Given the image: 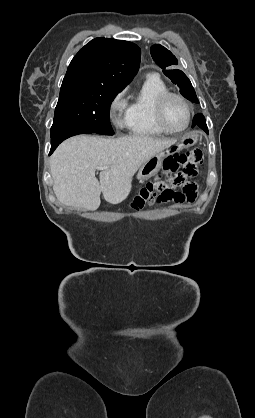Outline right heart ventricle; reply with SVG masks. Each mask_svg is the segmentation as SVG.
Returning <instances> with one entry per match:
<instances>
[{"label": "right heart ventricle", "mask_w": 255, "mask_h": 418, "mask_svg": "<svg viewBox=\"0 0 255 418\" xmlns=\"http://www.w3.org/2000/svg\"><path fill=\"white\" fill-rule=\"evenodd\" d=\"M167 91L166 84L157 76H148L144 80L127 110L126 126L132 135L158 136L166 133L155 120V103Z\"/></svg>", "instance_id": "e07e8e85"}]
</instances>
